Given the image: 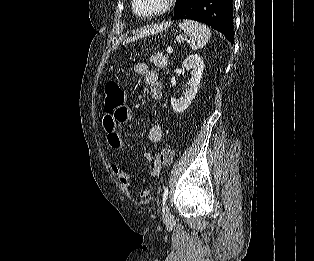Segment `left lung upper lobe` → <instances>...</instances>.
<instances>
[{"instance_id":"obj_1","label":"left lung upper lobe","mask_w":314,"mask_h":261,"mask_svg":"<svg viewBox=\"0 0 314 261\" xmlns=\"http://www.w3.org/2000/svg\"><path fill=\"white\" fill-rule=\"evenodd\" d=\"M183 2H184V0H176L174 13L180 8V6L182 5Z\"/></svg>"}]
</instances>
